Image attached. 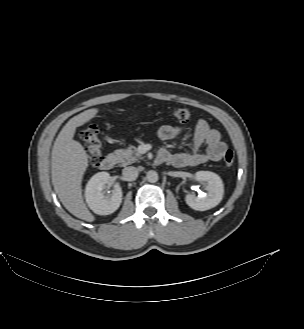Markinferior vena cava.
<instances>
[{"mask_svg":"<svg viewBox=\"0 0 304 329\" xmlns=\"http://www.w3.org/2000/svg\"><path fill=\"white\" fill-rule=\"evenodd\" d=\"M122 174L126 181H133L138 177V169L134 166L125 167Z\"/></svg>","mask_w":304,"mask_h":329,"instance_id":"obj_1","label":"inferior vena cava"}]
</instances>
